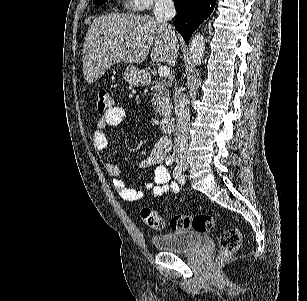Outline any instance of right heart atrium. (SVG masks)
Returning <instances> with one entry per match:
<instances>
[{
  "instance_id": "d8ad5b80",
  "label": "right heart atrium",
  "mask_w": 307,
  "mask_h": 301,
  "mask_svg": "<svg viewBox=\"0 0 307 301\" xmlns=\"http://www.w3.org/2000/svg\"><path fill=\"white\" fill-rule=\"evenodd\" d=\"M133 4L136 5L137 11H146L147 9H151V7H158V0H132Z\"/></svg>"
}]
</instances>
